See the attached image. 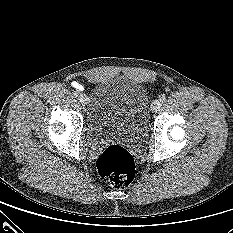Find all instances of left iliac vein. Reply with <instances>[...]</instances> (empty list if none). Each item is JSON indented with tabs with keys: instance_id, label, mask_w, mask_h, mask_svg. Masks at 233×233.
Masks as SVG:
<instances>
[{
	"instance_id": "4c4485c4",
	"label": "left iliac vein",
	"mask_w": 233,
	"mask_h": 233,
	"mask_svg": "<svg viewBox=\"0 0 233 233\" xmlns=\"http://www.w3.org/2000/svg\"><path fill=\"white\" fill-rule=\"evenodd\" d=\"M161 101L159 99L155 100L152 104H151V111L152 112H157L159 110V108L161 107Z\"/></svg>"
}]
</instances>
